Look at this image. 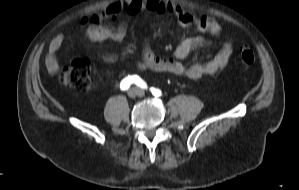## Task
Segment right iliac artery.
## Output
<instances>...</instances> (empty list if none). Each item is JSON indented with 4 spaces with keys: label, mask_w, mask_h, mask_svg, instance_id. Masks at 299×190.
Wrapping results in <instances>:
<instances>
[{
    "label": "right iliac artery",
    "mask_w": 299,
    "mask_h": 190,
    "mask_svg": "<svg viewBox=\"0 0 299 190\" xmlns=\"http://www.w3.org/2000/svg\"><path fill=\"white\" fill-rule=\"evenodd\" d=\"M133 83L141 88H147L146 83L137 75H132L124 78L120 83V88L121 90H127Z\"/></svg>",
    "instance_id": "1"
}]
</instances>
